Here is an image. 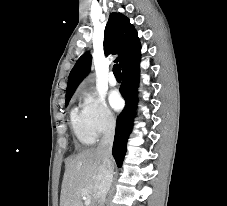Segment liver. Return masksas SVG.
Here are the masks:
<instances>
[{
	"mask_svg": "<svg viewBox=\"0 0 227 206\" xmlns=\"http://www.w3.org/2000/svg\"><path fill=\"white\" fill-rule=\"evenodd\" d=\"M101 165L102 156L97 148L84 150L71 159L64 173L60 206H83V189L91 197V206H95V184Z\"/></svg>",
	"mask_w": 227,
	"mask_h": 206,
	"instance_id": "liver-1",
	"label": "liver"
}]
</instances>
